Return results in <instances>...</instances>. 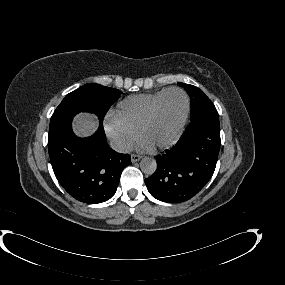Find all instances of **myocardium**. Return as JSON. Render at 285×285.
<instances>
[{
	"label": "myocardium",
	"instance_id": "f54148a6",
	"mask_svg": "<svg viewBox=\"0 0 285 285\" xmlns=\"http://www.w3.org/2000/svg\"><path fill=\"white\" fill-rule=\"evenodd\" d=\"M174 91H177V92H180L184 95L185 97V100H186V109H185V113L182 117V120L179 124V127L177 129V132L175 133L174 137L169 140L168 142L166 143H163L161 145H158L155 147V150H162V149H166V148H169L171 147L172 145H174L178 139L180 138L182 132H183V129L186 125V122H187V119L189 117V113H190V98L187 94L186 91H184L183 89L181 88H178V87H172V88H169L167 89L162 95L161 97L156 101V103L153 105L149 115L147 116V118L144 120V122L141 124L139 130H138V136L139 138L142 137V134L143 132L148 128V126L154 121V119L156 118L157 114H158V111L160 109V106L162 104V102L164 101L165 97L171 93V92H174Z\"/></svg>",
	"mask_w": 285,
	"mask_h": 285
}]
</instances>
